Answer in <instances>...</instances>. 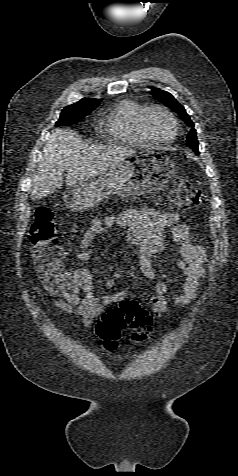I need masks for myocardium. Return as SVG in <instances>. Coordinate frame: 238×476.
Here are the masks:
<instances>
[{"label":"myocardium","mask_w":238,"mask_h":476,"mask_svg":"<svg viewBox=\"0 0 238 476\" xmlns=\"http://www.w3.org/2000/svg\"><path fill=\"white\" fill-rule=\"evenodd\" d=\"M155 111L163 112L166 116H168L170 118V120L173 123V126H174L173 134L167 140L157 139L153 135V133L151 132V130L149 128V117ZM140 127H141V130H142L143 134L145 135V137L151 143H154V144H157V145H167V144L172 143L176 139V137L179 133L178 119L176 118V116L173 114L172 111H170L167 107H165L163 105H151V106L146 107L145 110L143 111L141 117H140Z\"/></svg>","instance_id":"f54148a6"}]
</instances>
